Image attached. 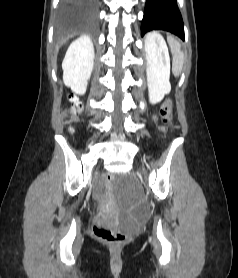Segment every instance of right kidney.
I'll return each mask as SVG.
<instances>
[{
  "label": "right kidney",
  "instance_id": "obj_1",
  "mask_svg": "<svg viewBox=\"0 0 238 278\" xmlns=\"http://www.w3.org/2000/svg\"><path fill=\"white\" fill-rule=\"evenodd\" d=\"M94 64V48L90 37L83 36L68 48L62 63L64 83L77 94L86 92Z\"/></svg>",
  "mask_w": 238,
  "mask_h": 278
}]
</instances>
